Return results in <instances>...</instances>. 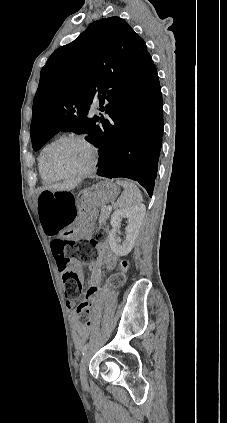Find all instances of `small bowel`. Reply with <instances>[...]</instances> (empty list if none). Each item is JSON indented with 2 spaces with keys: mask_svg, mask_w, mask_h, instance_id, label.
I'll use <instances>...</instances> for the list:
<instances>
[{
  "mask_svg": "<svg viewBox=\"0 0 227 423\" xmlns=\"http://www.w3.org/2000/svg\"><path fill=\"white\" fill-rule=\"evenodd\" d=\"M52 238L51 246L54 241L59 239V236L57 235H49ZM99 250V256L96 259V261L89 264V270H90V278H89V284L90 285H97L101 279H102V266H105L108 270H113L116 268L118 264V258L117 256L110 250L108 244L101 243L98 246ZM75 305V302L72 300L67 301V307L73 308ZM99 318V311L98 309H95L92 313L91 320L89 322H81L77 318L76 313H72L70 316L71 324L73 329L76 331V337H75V344L77 347H80L87 337L89 336L91 327L93 324L97 322Z\"/></svg>",
  "mask_w": 227,
  "mask_h": 423,
  "instance_id": "small-bowel-1",
  "label": "small bowel"
}]
</instances>
